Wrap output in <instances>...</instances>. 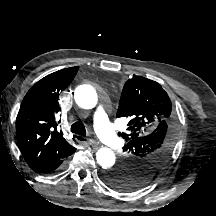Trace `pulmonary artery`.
Instances as JSON below:
<instances>
[{
  "label": "pulmonary artery",
  "mask_w": 216,
  "mask_h": 216,
  "mask_svg": "<svg viewBox=\"0 0 216 216\" xmlns=\"http://www.w3.org/2000/svg\"><path fill=\"white\" fill-rule=\"evenodd\" d=\"M93 120L97 136L107 146L116 149L124 145V141L116 134L102 105L95 111Z\"/></svg>",
  "instance_id": "obj_1"
}]
</instances>
